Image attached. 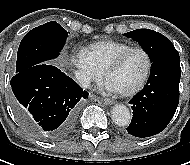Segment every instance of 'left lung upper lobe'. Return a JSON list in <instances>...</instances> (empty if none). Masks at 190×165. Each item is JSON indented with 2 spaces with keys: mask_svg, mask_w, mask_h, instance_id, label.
<instances>
[{
  "mask_svg": "<svg viewBox=\"0 0 190 165\" xmlns=\"http://www.w3.org/2000/svg\"><path fill=\"white\" fill-rule=\"evenodd\" d=\"M124 35L138 42L148 54L151 62L167 54L177 52L168 38L153 30L137 29Z\"/></svg>",
  "mask_w": 190,
  "mask_h": 165,
  "instance_id": "obj_1",
  "label": "left lung upper lobe"
}]
</instances>
